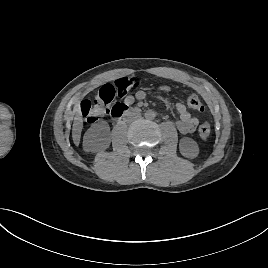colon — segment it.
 I'll return each instance as SVG.
<instances>
[{
    "mask_svg": "<svg viewBox=\"0 0 268 268\" xmlns=\"http://www.w3.org/2000/svg\"><path fill=\"white\" fill-rule=\"evenodd\" d=\"M139 84V78L131 76L102 85L93 100L83 101L81 104L82 115L88 122L97 121L102 115L110 112L111 104L117 97H124L131 89L139 86ZM187 104L196 111L203 112L205 110L201 99L195 94L187 96ZM198 133L202 140H207L211 135L210 124L208 122L201 124Z\"/></svg>",
    "mask_w": 268,
    "mask_h": 268,
    "instance_id": "5ec220e1",
    "label": "colon"
}]
</instances>
